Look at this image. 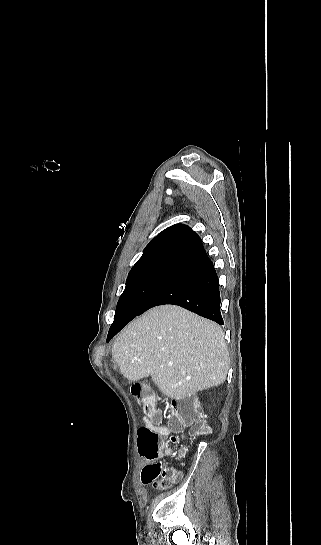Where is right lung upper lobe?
I'll return each instance as SVG.
<instances>
[{
  "mask_svg": "<svg viewBox=\"0 0 321 545\" xmlns=\"http://www.w3.org/2000/svg\"><path fill=\"white\" fill-rule=\"evenodd\" d=\"M203 250L200 237L190 227L176 224L150 241L132 270L151 266L179 268Z\"/></svg>",
  "mask_w": 321,
  "mask_h": 545,
  "instance_id": "right-lung-upper-lobe-1",
  "label": "right lung upper lobe"
}]
</instances>
